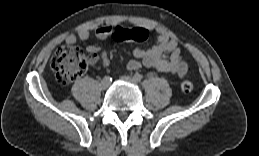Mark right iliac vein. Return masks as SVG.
<instances>
[{"label": "right iliac vein", "instance_id": "right-iliac-vein-1", "mask_svg": "<svg viewBox=\"0 0 259 156\" xmlns=\"http://www.w3.org/2000/svg\"><path fill=\"white\" fill-rule=\"evenodd\" d=\"M109 85H110V81L104 80V79L102 80V82H101L102 89H107L109 87Z\"/></svg>", "mask_w": 259, "mask_h": 156}]
</instances>
